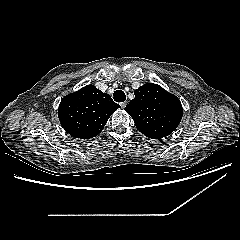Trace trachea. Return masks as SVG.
I'll use <instances>...</instances> for the list:
<instances>
[{
  "label": "trachea",
  "instance_id": "1",
  "mask_svg": "<svg viewBox=\"0 0 240 240\" xmlns=\"http://www.w3.org/2000/svg\"><path fill=\"white\" fill-rule=\"evenodd\" d=\"M113 98L116 102H123L126 100V94L122 90H116L113 94Z\"/></svg>",
  "mask_w": 240,
  "mask_h": 240
}]
</instances>
